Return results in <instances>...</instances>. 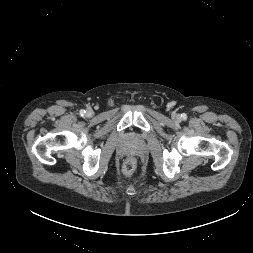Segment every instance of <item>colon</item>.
Wrapping results in <instances>:
<instances>
[{"mask_svg": "<svg viewBox=\"0 0 253 253\" xmlns=\"http://www.w3.org/2000/svg\"><path fill=\"white\" fill-rule=\"evenodd\" d=\"M136 163L135 160L132 158H129L125 161L123 165V172L127 176H131L135 171Z\"/></svg>", "mask_w": 253, "mask_h": 253, "instance_id": "1", "label": "colon"}]
</instances>
